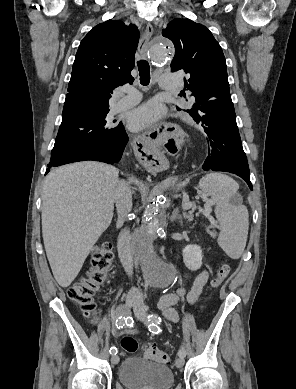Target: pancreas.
Masks as SVG:
<instances>
[{
  "mask_svg": "<svg viewBox=\"0 0 296 389\" xmlns=\"http://www.w3.org/2000/svg\"><path fill=\"white\" fill-rule=\"evenodd\" d=\"M195 209H196V206H193L192 211L183 214L184 218L187 219L188 222L193 221L194 216H193L192 213H193V211H194ZM199 211H200V212H203L204 210H202L201 208H199Z\"/></svg>",
  "mask_w": 296,
  "mask_h": 389,
  "instance_id": "cf45deb5",
  "label": "pancreas"
}]
</instances>
